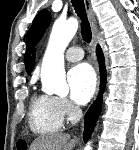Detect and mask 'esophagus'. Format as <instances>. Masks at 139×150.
Wrapping results in <instances>:
<instances>
[{
	"label": "esophagus",
	"instance_id": "1",
	"mask_svg": "<svg viewBox=\"0 0 139 150\" xmlns=\"http://www.w3.org/2000/svg\"><path fill=\"white\" fill-rule=\"evenodd\" d=\"M83 1H84V5H85V10H86V13L88 16V20L90 23L91 31H92L93 47L95 48L96 44H97V24H96L95 14L91 7L90 0H83Z\"/></svg>",
	"mask_w": 139,
	"mask_h": 150
}]
</instances>
